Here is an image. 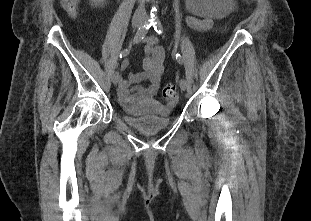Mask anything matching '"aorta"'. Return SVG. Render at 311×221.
<instances>
[{"mask_svg": "<svg viewBox=\"0 0 311 221\" xmlns=\"http://www.w3.org/2000/svg\"><path fill=\"white\" fill-rule=\"evenodd\" d=\"M156 14H157V10H155V8H153V10L151 12L152 18H157Z\"/></svg>", "mask_w": 311, "mask_h": 221, "instance_id": "1", "label": "aorta"}]
</instances>
